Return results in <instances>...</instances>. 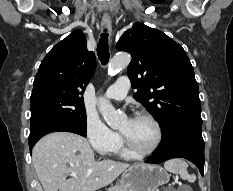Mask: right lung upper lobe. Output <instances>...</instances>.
I'll list each match as a JSON object with an SVG mask.
<instances>
[{
  "mask_svg": "<svg viewBox=\"0 0 233 191\" xmlns=\"http://www.w3.org/2000/svg\"><path fill=\"white\" fill-rule=\"evenodd\" d=\"M95 55L81 30H74L45 56L36 74L31 99L58 96L83 102L81 95L94 74Z\"/></svg>",
  "mask_w": 233,
  "mask_h": 191,
  "instance_id": "obj_1",
  "label": "right lung upper lobe"
}]
</instances>
